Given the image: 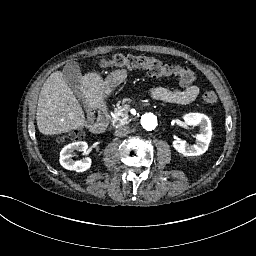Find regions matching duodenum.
<instances>
[{
	"instance_id": "obj_1",
	"label": "duodenum",
	"mask_w": 256,
	"mask_h": 256,
	"mask_svg": "<svg viewBox=\"0 0 256 256\" xmlns=\"http://www.w3.org/2000/svg\"><path fill=\"white\" fill-rule=\"evenodd\" d=\"M128 78L127 73L124 70L116 71L112 73L102 85V91L98 94V106L100 111L98 113L97 121L93 124L92 130L95 134H103L110 122V116L108 112L109 102L111 98L117 96L116 88ZM142 103L144 105H150L152 103V98L150 96H144L142 98Z\"/></svg>"
}]
</instances>
